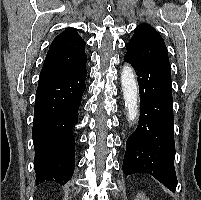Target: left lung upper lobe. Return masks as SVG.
Masks as SVG:
<instances>
[{"mask_svg": "<svg viewBox=\"0 0 201 200\" xmlns=\"http://www.w3.org/2000/svg\"><path fill=\"white\" fill-rule=\"evenodd\" d=\"M127 53L125 56L139 63L167 62L169 57L163 38L150 25H139L126 44Z\"/></svg>", "mask_w": 201, "mask_h": 200, "instance_id": "obj_1", "label": "left lung upper lobe"}]
</instances>
